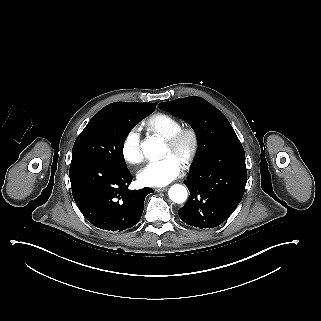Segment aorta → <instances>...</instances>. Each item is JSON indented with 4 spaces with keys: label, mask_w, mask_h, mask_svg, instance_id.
Returning a JSON list of instances; mask_svg holds the SVG:
<instances>
[{
    "label": "aorta",
    "mask_w": 321,
    "mask_h": 321,
    "mask_svg": "<svg viewBox=\"0 0 321 321\" xmlns=\"http://www.w3.org/2000/svg\"><path fill=\"white\" fill-rule=\"evenodd\" d=\"M141 147L145 157L156 160L163 154L164 143L156 137H150L143 141ZM168 194L169 198L178 204L185 202L187 199V190L180 184L173 185Z\"/></svg>",
    "instance_id": "aorta-1"
}]
</instances>
